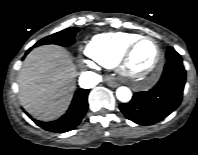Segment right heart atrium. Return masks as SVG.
<instances>
[{
    "label": "right heart atrium",
    "instance_id": "d8ad5b80",
    "mask_svg": "<svg viewBox=\"0 0 198 155\" xmlns=\"http://www.w3.org/2000/svg\"><path fill=\"white\" fill-rule=\"evenodd\" d=\"M87 64H88L89 66H94L93 63H91V62H87Z\"/></svg>",
    "mask_w": 198,
    "mask_h": 155
}]
</instances>
